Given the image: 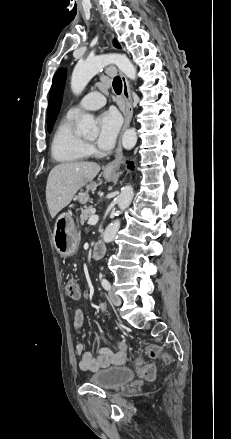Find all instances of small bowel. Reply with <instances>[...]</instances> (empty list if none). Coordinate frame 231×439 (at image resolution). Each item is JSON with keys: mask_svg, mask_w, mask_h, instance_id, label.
<instances>
[{"mask_svg": "<svg viewBox=\"0 0 231 439\" xmlns=\"http://www.w3.org/2000/svg\"><path fill=\"white\" fill-rule=\"evenodd\" d=\"M79 300L80 298H73ZM100 312L106 311V304L100 303L98 305ZM84 321V314L80 307H75L73 310V327L79 330ZM75 352L80 356L79 367L82 371H98L112 365H123L126 360L127 345L123 341L117 343V351H112L109 348H99L94 356L91 352L86 351L84 345L78 342L75 345Z\"/></svg>", "mask_w": 231, "mask_h": 439, "instance_id": "1", "label": "small bowel"}]
</instances>
